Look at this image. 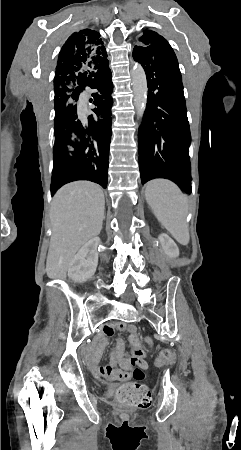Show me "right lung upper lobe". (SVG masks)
I'll return each instance as SVG.
<instances>
[{
    "label": "right lung upper lobe",
    "instance_id": "cb5924a9",
    "mask_svg": "<svg viewBox=\"0 0 241 450\" xmlns=\"http://www.w3.org/2000/svg\"><path fill=\"white\" fill-rule=\"evenodd\" d=\"M107 53L100 34L91 29L73 33L63 45L54 78V101L65 99L71 91L65 84L69 77L107 63Z\"/></svg>",
    "mask_w": 241,
    "mask_h": 450
}]
</instances>
